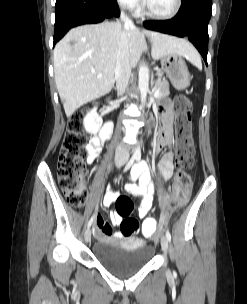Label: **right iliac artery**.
Here are the masks:
<instances>
[{
	"mask_svg": "<svg viewBox=\"0 0 247 304\" xmlns=\"http://www.w3.org/2000/svg\"><path fill=\"white\" fill-rule=\"evenodd\" d=\"M135 159H136V157L133 156V157L128 161V163L126 164V166H125V168H124V172H126V171H128V170L130 169V167L133 165ZM94 219H95V215H93V216L90 218V220H89V222H88V224H87V228H88V229L91 227V225H92Z\"/></svg>",
	"mask_w": 247,
	"mask_h": 304,
	"instance_id": "right-iliac-artery-1",
	"label": "right iliac artery"
}]
</instances>
